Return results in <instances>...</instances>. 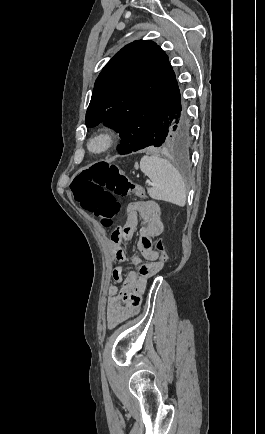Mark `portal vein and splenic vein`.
I'll return each instance as SVG.
<instances>
[{
  "mask_svg": "<svg viewBox=\"0 0 265 434\" xmlns=\"http://www.w3.org/2000/svg\"><path fill=\"white\" fill-rule=\"evenodd\" d=\"M147 184H151L150 180H146Z\"/></svg>",
  "mask_w": 265,
  "mask_h": 434,
  "instance_id": "obj_1",
  "label": "portal vein and splenic vein"
}]
</instances>
